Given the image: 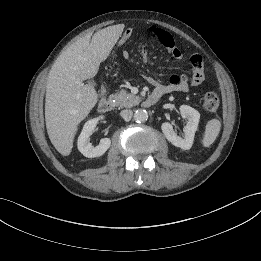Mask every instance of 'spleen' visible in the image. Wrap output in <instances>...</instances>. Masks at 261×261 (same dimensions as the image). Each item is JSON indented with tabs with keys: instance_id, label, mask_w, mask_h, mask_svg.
Wrapping results in <instances>:
<instances>
[{
	"instance_id": "1",
	"label": "spleen",
	"mask_w": 261,
	"mask_h": 261,
	"mask_svg": "<svg viewBox=\"0 0 261 261\" xmlns=\"http://www.w3.org/2000/svg\"><path fill=\"white\" fill-rule=\"evenodd\" d=\"M220 128L221 122L217 119H212L207 122L202 139V145L204 147H209L215 142L217 136L219 135Z\"/></svg>"
}]
</instances>
